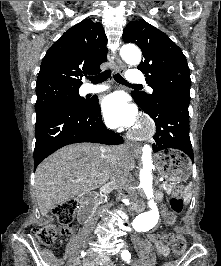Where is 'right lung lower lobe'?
I'll use <instances>...</instances> for the list:
<instances>
[{"label":"right lung lower lobe","instance_id":"98d812e1","mask_svg":"<svg viewBox=\"0 0 221 266\" xmlns=\"http://www.w3.org/2000/svg\"><path fill=\"white\" fill-rule=\"evenodd\" d=\"M81 142L107 145L123 143L120 135L105 127L97 98L87 100L80 107L56 106L37 117L34 170L57 149Z\"/></svg>","mask_w":221,"mask_h":266}]
</instances>
